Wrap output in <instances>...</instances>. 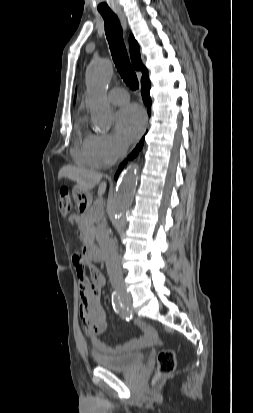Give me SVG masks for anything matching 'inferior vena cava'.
Returning <instances> with one entry per match:
<instances>
[{
    "label": "inferior vena cava",
    "mask_w": 253,
    "mask_h": 413,
    "mask_svg": "<svg viewBox=\"0 0 253 413\" xmlns=\"http://www.w3.org/2000/svg\"><path fill=\"white\" fill-rule=\"evenodd\" d=\"M125 154L126 148H123L121 150V157H123ZM97 240L105 256L107 272L112 287L118 291H124L125 287L123 274L115 241L110 237L107 231H101L98 235Z\"/></svg>",
    "instance_id": "1"
}]
</instances>
